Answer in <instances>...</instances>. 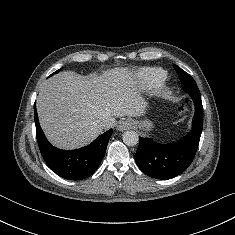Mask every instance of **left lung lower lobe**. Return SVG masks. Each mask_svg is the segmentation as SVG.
Instances as JSON below:
<instances>
[{"label": "left lung lower lobe", "mask_w": 235, "mask_h": 235, "mask_svg": "<svg viewBox=\"0 0 235 235\" xmlns=\"http://www.w3.org/2000/svg\"><path fill=\"white\" fill-rule=\"evenodd\" d=\"M182 88L190 94L195 105L192 131L183 139L167 145L139 137L135 161L142 172L152 178L171 179L179 175L188 168L196 154L203 128L201 94L194 91L190 83L184 80Z\"/></svg>", "instance_id": "1"}]
</instances>
